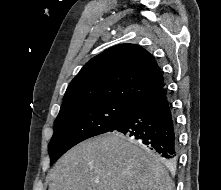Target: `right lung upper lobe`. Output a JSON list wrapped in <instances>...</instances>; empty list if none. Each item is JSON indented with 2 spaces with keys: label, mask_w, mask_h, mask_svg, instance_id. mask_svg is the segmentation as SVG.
<instances>
[{
  "label": "right lung upper lobe",
  "mask_w": 221,
  "mask_h": 190,
  "mask_svg": "<svg viewBox=\"0 0 221 190\" xmlns=\"http://www.w3.org/2000/svg\"><path fill=\"white\" fill-rule=\"evenodd\" d=\"M165 86L153 56L134 44H119L92 58L69 84L61 108L114 100L135 105Z\"/></svg>",
  "instance_id": "1"
}]
</instances>
